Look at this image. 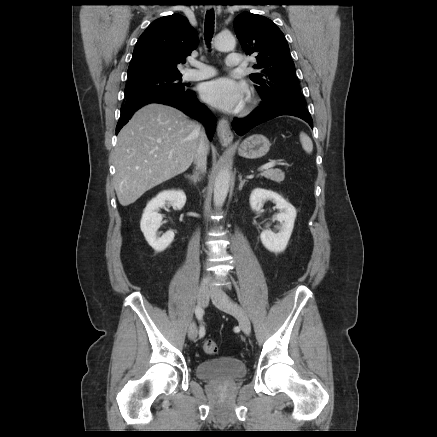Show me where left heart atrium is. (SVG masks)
Segmentation results:
<instances>
[{"label":"left heart atrium","mask_w":437,"mask_h":437,"mask_svg":"<svg viewBox=\"0 0 437 437\" xmlns=\"http://www.w3.org/2000/svg\"><path fill=\"white\" fill-rule=\"evenodd\" d=\"M246 94L247 88L243 83L229 78H218L207 82L201 90L202 98L207 103L225 112L238 110Z\"/></svg>","instance_id":"obj_1"}]
</instances>
